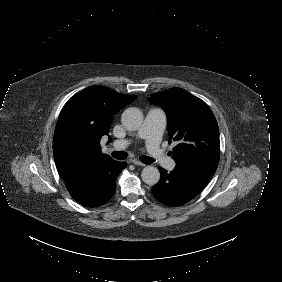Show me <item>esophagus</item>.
Wrapping results in <instances>:
<instances>
[{
	"label": "esophagus",
	"instance_id": "34e87169",
	"mask_svg": "<svg viewBox=\"0 0 282 282\" xmlns=\"http://www.w3.org/2000/svg\"><path fill=\"white\" fill-rule=\"evenodd\" d=\"M132 163H133L134 165H138V166H145L144 163H142L141 161H139V160H137V159H133V160H132Z\"/></svg>",
	"mask_w": 282,
	"mask_h": 282
}]
</instances>
